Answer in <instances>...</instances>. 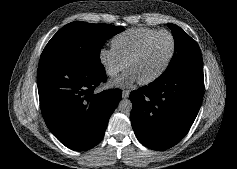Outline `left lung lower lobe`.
<instances>
[{
    "mask_svg": "<svg viewBox=\"0 0 237 169\" xmlns=\"http://www.w3.org/2000/svg\"><path fill=\"white\" fill-rule=\"evenodd\" d=\"M203 94V67L158 78L132 91L131 123L137 139L153 150L176 145L192 126Z\"/></svg>",
    "mask_w": 237,
    "mask_h": 169,
    "instance_id": "1",
    "label": "left lung lower lobe"
}]
</instances>
